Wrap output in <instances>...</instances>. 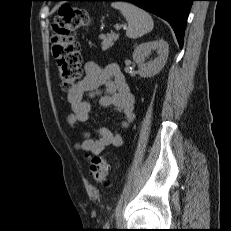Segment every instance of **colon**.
Here are the masks:
<instances>
[{
    "instance_id": "obj_1",
    "label": "colon",
    "mask_w": 231,
    "mask_h": 231,
    "mask_svg": "<svg viewBox=\"0 0 231 231\" xmlns=\"http://www.w3.org/2000/svg\"><path fill=\"white\" fill-rule=\"evenodd\" d=\"M90 17L83 9L73 5L59 8L53 25V56L62 87L70 90L82 76L80 46L75 40L76 30L89 24ZM90 176L98 183H106L109 164L105 157L94 155L90 161Z\"/></svg>"
}]
</instances>
